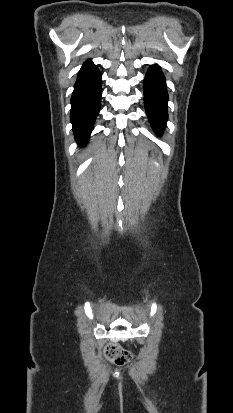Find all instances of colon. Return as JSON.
Wrapping results in <instances>:
<instances>
[{
    "label": "colon",
    "instance_id": "1",
    "mask_svg": "<svg viewBox=\"0 0 233 413\" xmlns=\"http://www.w3.org/2000/svg\"><path fill=\"white\" fill-rule=\"evenodd\" d=\"M106 356L115 364L123 365L132 358V353L116 344H109L105 349Z\"/></svg>",
    "mask_w": 233,
    "mask_h": 413
}]
</instances>
